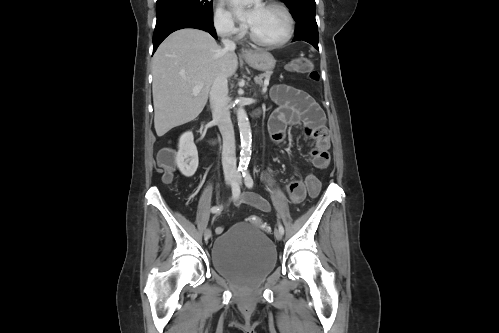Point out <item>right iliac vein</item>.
<instances>
[{
	"instance_id": "obj_1",
	"label": "right iliac vein",
	"mask_w": 499,
	"mask_h": 333,
	"mask_svg": "<svg viewBox=\"0 0 499 333\" xmlns=\"http://www.w3.org/2000/svg\"><path fill=\"white\" fill-rule=\"evenodd\" d=\"M232 181H233V179H232L231 177H228V178L226 179V182H227V184H228V185H231V184H232ZM204 237H205V239H206V240L210 239V237H211V230H210L209 228H207V229L205 230V232H204Z\"/></svg>"
}]
</instances>
